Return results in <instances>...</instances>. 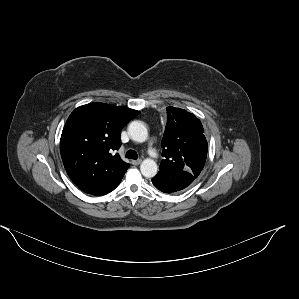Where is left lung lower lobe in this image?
Here are the masks:
<instances>
[{
	"instance_id": "0a47b994",
	"label": "left lung lower lobe",
	"mask_w": 299,
	"mask_h": 299,
	"mask_svg": "<svg viewBox=\"0 0 299 299\" xmlns=\"http://www.w3.org/2000/svg\"><path fill=\"white\" fill-rule=\"evenodd\" d=\"M194 177L186 171H162L152 178L153 185L164 193H173L189 186Z\"/></svg>"
}]
</instances>
